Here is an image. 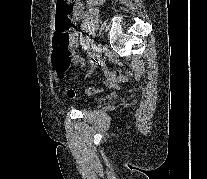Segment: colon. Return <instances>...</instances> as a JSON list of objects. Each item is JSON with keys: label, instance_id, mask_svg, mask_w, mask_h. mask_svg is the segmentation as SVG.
Segmentation results:
<instances>
[{"label": "colon", "instance_id": "obj_1", "mask_svg": "<svg viewBox=\"0 0 207 179\" xmlns=\"http://www.w3.org/2000/svg\"><path fill=\"white\" fill-rule=\"evenodd\" d=\"M55 33L53 38L54 50L52 55V64L56 76L59 79L65 78L71 66V51L69 48L71 36L69 30L72 27L71 14L73 12L72 0H59L56 7ZM128 77L119 71L106 72L105 87H112L118 83H124ZM101 91L99 88L89 87L86 89L88 94H94ZM76 94L74 89H68L67 95L72 98Z\"/></svg>", "mask_w": 207, "mask_h": 179}]
</instances>
